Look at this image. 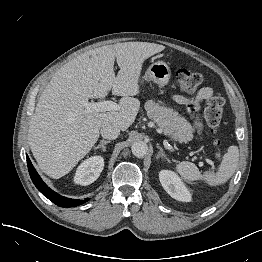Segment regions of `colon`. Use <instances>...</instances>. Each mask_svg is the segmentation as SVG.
<instances>
[{
	"mask_svg": "<svg viewBox=\"0 0 262 262\" xmlns=\"http://www.w3.org/2000/svg\"><path fill=\"white\" fill-rule=\"evenodd\" d=\"M176 75L180 88L185 92L195 91L202 84V76L198 72L179 69ZM224 104L225 100L221 94H215L207 100L203 115L205 122L213 131L221 123ZM189 110L191 114H197V108L194 105H190Z\"/></svg>",
	"mask_w": 262,
	"mask_h": 262,
	"instance_id": "1",
	"label": "colon"
}]
</instances>
